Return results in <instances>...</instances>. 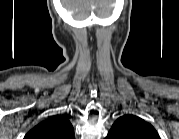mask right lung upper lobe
<instances>
[{"label": "right lung upper lobe", "mask_w": 179, "mask_h": 139, "mask_svg": "<svg viewBox=\"0 0 179 139\" xmlns=\"http://www.w3.org/2000/svg\"><path fill=\"white\" fill-rule=\"evenodd\" d=\"M26 139H74V129L70 121L61 115L53 116L32 128Z\"/></svg>", "instance_id": "1"}]
</instances>
